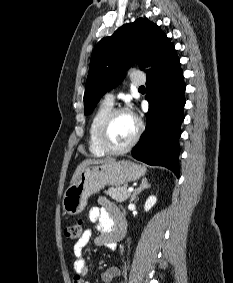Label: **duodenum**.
<instances>
[{"instance_id": "duodenum-1", "label": "duodenum", "mask_w": 233, "mask_h": 283, "mask_svg": "<svg viewBox=\"0 0 233 283\" xmlns=\"http://www.w3.org/2000/svg\"><path fill=\"white\" fill-rule=\"evenodd\" d=\"M124 229H125L124 223L120 222L119 225H118V230H117L116 235H115L116 240H119L123 236Z\"/></svg>"}]
</instances>
